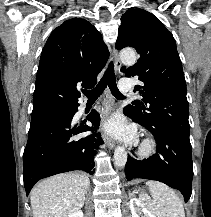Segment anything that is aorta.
Returning <instances> with one entry per match:
<instances>
[{"label": "aorta", "instance_id": "aorta-1", "mask_svg": "<svg viewBox=\"0 0 211 217\" xmlns=\"http://www.w3.org/2000/svg\"><path fill=\"white\" fill-rule=\"evenodd\" d=\"M120 59L127 65L136 63L137 56L133 49H124L120 52ZM127 161V152L123 146H118L114 152V165L118 168L125 166Z\"/></svg>", "mask_w": 211, "mask_h": 217}]
</instances>
